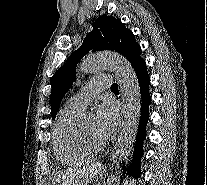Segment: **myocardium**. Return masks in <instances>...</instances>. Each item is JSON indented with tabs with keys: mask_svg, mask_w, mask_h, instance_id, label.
Returning a JSON list of instances; mask_svg holds the SVG:
<instances>
[{
	"mask_svg": "<svg viewBox=\"0 0 207 185\" xmlns=\"http://www.w3.org/2000/svg\"><path fill=\"white\" fill-rule=\"evenodd\" d=\"M80 134L84 143L95 153L103 151L107 146V142L104 139L94 135H88L83 129L80 130Z\"/></svg>",
	"mask_w": 207,
	"mask_h": 185,
	"instance_id": "obj_1",
	"label": "myocardium"
}]
</instances>
